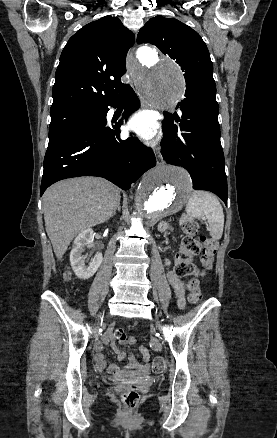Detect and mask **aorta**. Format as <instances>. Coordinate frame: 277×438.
Wrapping results in <instances>:
<instances>
[{"label": "aorta", "mask_w": 277, "mask_h": 438, "mask_svg": "<svg viewBox=\"0 0 277 438\" xmlns=\"http://www.w3.org/2000/svg\"><path fill=\"white\" fill-rule=\"evenodd\" d=\"M139 65L133 76L144 99L153 107H172L184 94V79L179 66L170 58L149 48L137 51ZM192 190L186 170L159 165L142 178L136 192V217L148 225L179 212Z\"/></svg>", "instance_id": "aorta-1"}]
</instances>
